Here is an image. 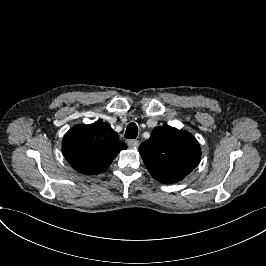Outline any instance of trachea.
<instances>
[{
  "label": "trachea",
  "mask_w": 266,
  "mask_h": 266,
  "mask_svg": "<svg viewBox=\"0 0 266 266\" xmlns=\"http://www.w3.org/2000/svg\"><path fill=\"white\" fill-rule=\"evenodd\" d=\"M138 135V127L135 123H130L127 126L126 132H125V138L126 139H135Z\"/></svg>",
  "instance_id": "trachea-1"
}]
</instances>
